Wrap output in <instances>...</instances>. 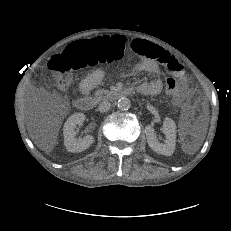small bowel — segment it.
Here are the masks:
<instances>
[{
	"label": "small bowel",
	"mask_w": 231,
	"mask_h": 231,
	"mask_svg": "<svg viewBox=\"0 0 231 231\" xmlns=\"http://www.w3.org/2000/svg\"><path fill=\"white\" fill-rule=\"evenodd\" d=\"M129 49L139 56L134 64V70L145 72L154 78L149 82L140 83L137 90L144 95H157L161 92L163 84L158 75L160 64L165 66L170 73H173L180 80H184V70L180 62L169 52L157 44L144 39H134L129 43ZM164 62H161L162 58ZM104 73L101 70H94L85 76L80 82V90L89 94L103 79Z\"/></svg>",
	"instance_id": "1"
}]
</instances>
